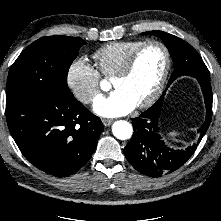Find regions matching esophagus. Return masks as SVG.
Returning <instances> with one entry per match:
<instances>
[{"label":"esophagus","mask_w":221,"mask_h":221,"mask_svg":"<svg viewBox=\"0 0 221 221\" xmlns=\"http://www.w3.org/2000/svg\"><path fill=\"white\" fill-rule=\"evenodd\" d=\"M102 122H103L104 126L108 127L113 123V120L112 119H103Z\"/></svg>","instance_id":"34e87169"}]
</instances>
